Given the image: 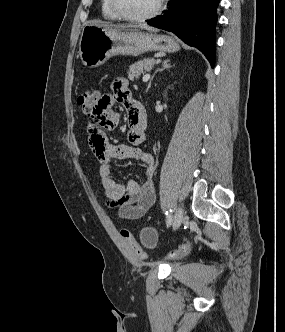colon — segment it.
I'll return each mask as SVG.
<instances>
[{
  "label": "colon",
  "mask_w": 285,
  "mask_h": 332,
  "mask_svg": "<svg viewBox=\"0 0 285 332\" xmlns=\"http://www.w3.org/2000/svg\"><path fill=\"white\" fill-rule=\"evenodd\" d=\"M96 96H103V95H100L98 92L95 91H85L78 95L77 103L81 108L83 114L86 115V111H92V107L94 106V103H96L95 101ZM120 233L121 237L124 239L129 248L137 257L141 259H145L147 257L146 252L140 246V244L135 240L130 230L123 229L121 230ZM189 251H190V245L189 243L185 242L181 246H179L178 249L171 251L167 255V259L173 260V259L183 258L189 253Z\"/></svg>",
  "instance_id": "obj_1"
}]
</instances>
